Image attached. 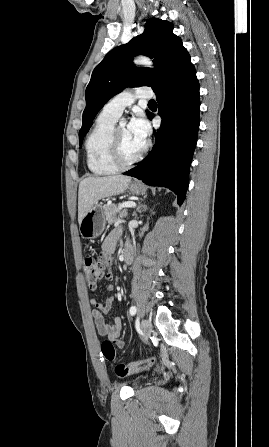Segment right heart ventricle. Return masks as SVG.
I'll return each mask as SVG.
<instances>
[{"label":"right heart ventricle","mask_w":269,"mask_h":447,"mask_svg":"<svg viewBox=\"0 0 269 447\" xmlns=\"http://www.w3.org/2000/svg\"><path fill=\"white\" fill-rule=\"evenodd\" d=\"M116 118L102 111L86 140L87 164L90 171L97 175L115 172L118 167L110 157V135Z\"/></svg>","instance_id":"obj_1"}]
</instances>
